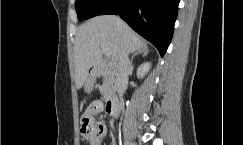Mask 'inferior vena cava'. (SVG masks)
Returning <instances> with one entry per match:
<instances>
[{"label": "inferior vena cava", "instance_id": "inferior-vena-cava-1", "mask_svg": "<svg viewBox=\"0 0 243 145\" xmlns=\"http://www.w3.org/2000/svg\"><path fill=\"white\" fill-rule=\"evenodd\" d=\"M132 70V63L129 60L128 53L123 52L119 60V70L116 79L117 92L121 96L128 84V74Z\"/></svg>", "mask_w": 243, "mask_h": 145}]
</instances>
